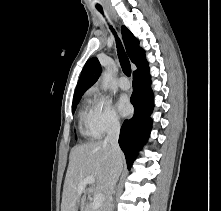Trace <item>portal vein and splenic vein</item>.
Wrapping results in <instances>:
<instances>
[{
	"instance_id": "obj_1",
	"label": "portal vein and splenic vein",
	"mask_w": 221,
	"mask_h": 211,
	"mask_svg": "<svg viewBox=\"0 0 221 211\" xmlns=\"http://www.w3.org/2000/svg\"><path fill=\"white\" fill-rule=\"evenodd\" d=\"M95 182V178L93 176H88L86 177L84 180H82L79 184V190H83L87 184H93ZM104 202V195L99 193V194H95L93 202L91 204V206L93 208H99L102 206Z\"/></svg>"
}]
</instances>
